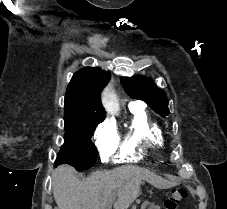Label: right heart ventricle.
<instances>
[{"label":"right heart ventricle","mask_w":227,"mask_h":209,"mask_svg":"<svg viewBox=\"0 0 227 209\" xmlns=\"http://www.w3.org/2000/svg\"><path fill=\"white\" fill-rule=\"evenodd\" d=\"M130 119L126 132L112 155L114 163H135L144 159L149 151H161L166 140L160 124L135 106H129Z\"/></svg>","instance_id":"1"}]
</instances>
